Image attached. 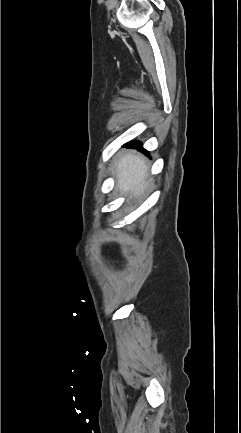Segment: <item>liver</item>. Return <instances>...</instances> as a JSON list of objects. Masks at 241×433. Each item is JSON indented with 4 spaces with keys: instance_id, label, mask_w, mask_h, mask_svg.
<instances>
[{
    "instance_id": "1",
    "label": "liver",
    "mask_w": 241,
    "mask_h": 433,
    "mask_svg": "<svg viewBox=\"0 0 241 433\" xmlns=\"http://www.w3.org/2000/svg\"><path fill=\"white\" fill-rule=\"evenodd\" d=\"M114 169L117 188L129 198L142 195L148 187V166L144 156L134 151L120 155Z\"/></svg>"
}]
</instances>
